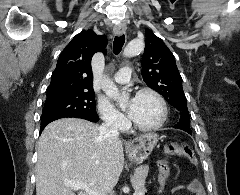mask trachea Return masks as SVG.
<instances>
[{"label":"trachea","mask_w":240,"mask_h":195,"mask_svg":"<svg viewBox=\"0 0 240 195\" xmlns=\"http://www.w3.org/2000/svg\"><path fill=\"white\" fill-rule=\"evenodd\" d=\"M124 43H125V35H121L120 37L119 36L115 37L113 42V51L115 55H118L121 52Z\"/></svg>","instance_id":"1"}]
</instances>
